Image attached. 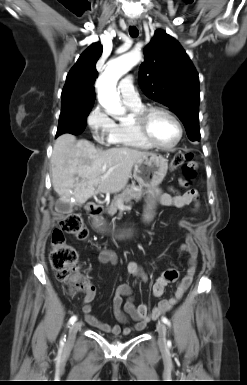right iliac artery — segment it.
Returning a JSON list of instances; mask_svg holds the SVG:
<instances>
[{
    "label": "right iliac artery",
    "instance_id": "82829eb1",
    "mask_svg": "<svg viewBox=\"0 0 247 385\" xmlns=\"http://www.w3.org/2000/svg\"><path fill=\"white\" fill-rule=\"evenodd\" d=\"M76 320H77V317H76V316H72V317L70 318V320H69V325H70V324H73ZM64 341H65V337H63V338L61 339V344H63Z\"/></svg>",
    "mask_w": 247,
    "mask_h": 385
}]
</instances>
